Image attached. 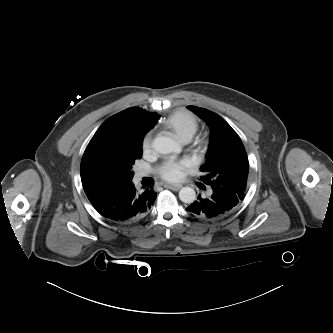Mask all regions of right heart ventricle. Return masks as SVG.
<instances>
[{
    "instance_id": "right-heart-ventricle-1",
    "label": "right heart ventricle",
    "mask_w": 333,
    "mask_h": 333,
    "mask_svg": "<svg viewBox=\"0 0 333 333\" xmlns=\"http://www.w3.org/2000/svg\"><path fill=\"white\" fill-rule=\"evenodd\" d=\"M163 125L180 141L190 140L198 129L196 118L187 111H177L163 120Z\"/></svg>"
}]
</instances>
